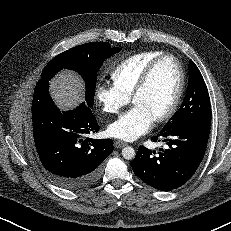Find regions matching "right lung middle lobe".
<instances>
[{
	"label": "right lung middle lobe",
	"instance_id": "1",
	"mask_svg": "<svg viewBox=\"0 0 231 231\" xmlns=\"http://www.w3.org/2000/svg\"><path fill=\"white\" fill-rule=\"evenodd\" d=\"M120 50L118 47L111 48L107 42H90L73 47L54 57L44 68L41 79L50 80L62 69H70L78 72L86 83V103L92 107L97 71L105 59Z\"/></svg>",
	"mask_w": 231,
	"mask_h": 231
}]
</instances>
